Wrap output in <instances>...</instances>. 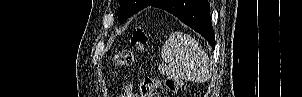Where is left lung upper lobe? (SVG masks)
I'll use <instances>...</instances> for the list:
<instances>
[{
    "mask_svg": "<svg viewBox=\"0 0 302 97\" xmlns=\"http://www.w3.org/2000/svg\"><path fill=\"white\" fill-rule=\"evenodd\" d=\"M153 1L154 0H119V22H125L127 18L148 7Z\"/></svg>",
    "mask_w": 302,
    "mask_h": 97,
    "instance_id": "5c2ea615",
    "label": "left lung upper lobe"
}]
</instances>
